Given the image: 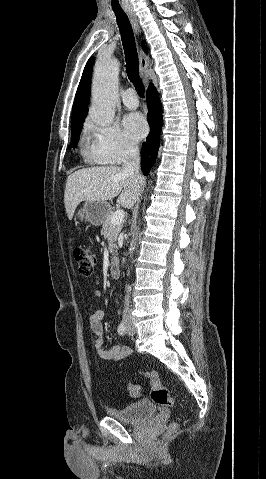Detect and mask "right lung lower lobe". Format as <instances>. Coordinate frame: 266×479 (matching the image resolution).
<instances>
[{"mask_svg": "<svg viewBox=\"0 0 266 479\" xmlns=\"http://www.w3.org/2000/svg\"><path fill=\"white\" fill-rule=\"evenodd\" d=\"M148 104V123L150 126V134L143 143L141 150V169L145 176H147L155 163L159 143L160 133L162 129V106L159 99V94L153 84H150L147 92Z\"/></svg>", "mask_w": 266, "mask_h": 479, "instance_id": "right-lung-lower-lobe-1", "label": "right lung lower lobe"}]
</instances>
